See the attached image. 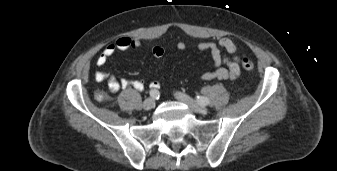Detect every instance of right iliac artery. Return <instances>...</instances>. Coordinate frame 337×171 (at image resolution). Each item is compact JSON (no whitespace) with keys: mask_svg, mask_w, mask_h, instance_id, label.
Here are the masks:
<instances>
[{"mask_svg":"<svg viewBox=\"0 0 337 171\" xmlns=\"http://www.w3.org/2000/svg\"><path fill=\"white\" fill-rule=\"evenodd\" d=\"M150 96H151L153 99L158 100L159 97H160V92H159L158 90L153 89V90L150 91Z\"/></svg>","mask_w":337,"mask_h":171,"instance_id":"right-iliac-artery-1","label":"right iliac artery"}]
</instances>
